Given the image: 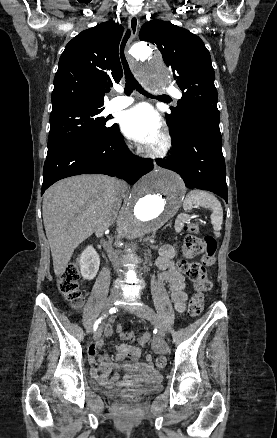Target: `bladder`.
I'll return each mask as SVG.
<instances>
[{
    "mask_svg": "<svg viewBox=\"0 0 277 438\" xmlns=\"http://www.w3.org/2000/svg\"><path fill=\"white\" fill-rule=\"evenodd\" d=\"M149 393V388L146 389V391L144 389H140L139 390V394L140 395H147ZM120 398L124 397L123 395L119 396Z\"/></svg>",
    "mask_w": 277,
    "mask_h": 438,
    "instance_id": "obj_1",
    "label": "bladder"
}]
</instances>
